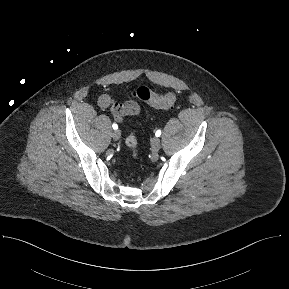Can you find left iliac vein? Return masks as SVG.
Returning a JSON list of instances; mask_svg holds the SVG:
<instances>
[{"label": "left iliac vein", "instance_id": "1", "mask_svg": "<svg viewBox=\"0 0 289 289\" xmlns=\"http://www.w3.org/2000/svg\"><path fill=\"white\" fill-rule=\"evenodd\" d=\"M151 147L154 151H158L161 148V141L157 136L152 138Z\"/></svg>", "mask_w": 289, "mask_h": 289}]
</instances>
